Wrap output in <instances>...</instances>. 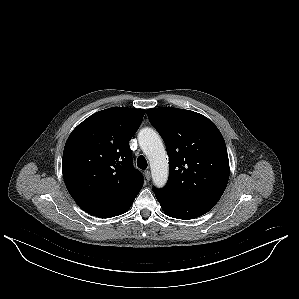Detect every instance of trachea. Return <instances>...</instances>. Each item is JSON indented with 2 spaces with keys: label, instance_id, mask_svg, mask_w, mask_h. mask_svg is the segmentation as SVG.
<instances>
[{
  "label": "trachea",
  "instance_id": "3493384b",
  "mask_svg": "<svg viewBox=\"0 0 299 299\" xmlns=\"http://www.w3.org/2000/svg\"><path fill=\"white\" fill-rule=\"evenodd\" d=\"M137 166L140 168V169H146L148 164H147V160L145 159L144 156H140L138 157L137 159Z\"/></svg>",
  "mask_w": 299,
  "mask_h": 299
}]
</instances>
